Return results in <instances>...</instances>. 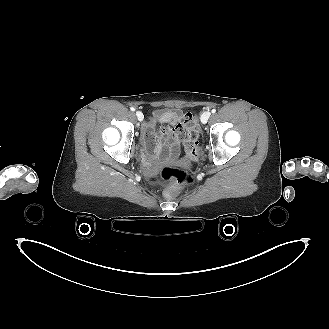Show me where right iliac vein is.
I'll return each mask as SVG.
<instances>
[{
    "instance_id": "1",
    "label": "right iliac vein",
    "mask_w": 329,
    "mask_h": 329,
    "mask_svg": "<svg viewBox=\"0 0 329 329\" xmlns=\"http://www.w3.org/2000/svg\"><path fill=\"white\" fill-rule=\"evenodd\" d=\"M136 116H137V119H138L139 121H143V119H144V115H143V113H142L141 111H137V112H136Z\"/></svg>"
}]
</instances>
